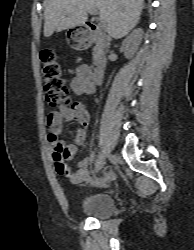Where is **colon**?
<instances>
[{
    "label": "colon",
    "instance_id": "5ec220e1",
    "mask_svg": "<svg viewBox=\"0 0 194 250\" xmlns=\"http://www.w3.org/2000/svg\"><path fill=\"white\" fill-rule=\"evenodd\" d=\"M42 62L43 89L46 100L57 107L71 104L66 81L60 66L59 58L52 47L45 48L40 54Z\"/></svg>",
    "mask_w": 194,
    "mask_h": 250
}]
</instances>
